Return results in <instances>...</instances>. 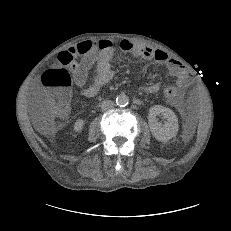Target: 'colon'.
Segmentation results:
<instances>
[{
  "label": "colon",
  "instance_id": "5ec220e1",
  "mask_svg": "<svg viewBox=\"0 0 231 231\" xmlns=\"http://www.w3.org/2000/svg\"><path fill=\"white\" fill-rule=\"evenodd\" d=\"M63 58L64 54L61 53L58 59L61 62ZM41 81L48 102L47 118L57 126L70 105L72 76L64 68L49 69L43 73ZM178 95L179 88L176 85L169 84L165 87L164 97L167 100H174Z\"/></svg>",
  "mask_w": 231,
  "mask_h": 231
}]
</instances>
